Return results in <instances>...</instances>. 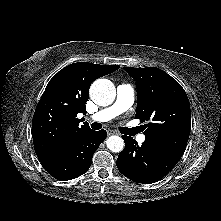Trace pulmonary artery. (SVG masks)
I'll return each mask as SVG.
<instances>
[{"mask_svg":"<svg viewBox=\"0 0 221 221\" xmlns=\"http://www.w3.org/2000/svg\"><path fill=\"white\" fill-rule=\"evenodd\" d=\"M116 91V101L111 106L91 115L90 120L98 123L108 122L132 106L135 94L132 86L128 84H119ZM137 140L142 143L145 140V136L139 135Z\"/></svg>","mask_w":221,"mask_h":221,"instance_id":"1","label":"pulmonary artery"}]
</instances>
